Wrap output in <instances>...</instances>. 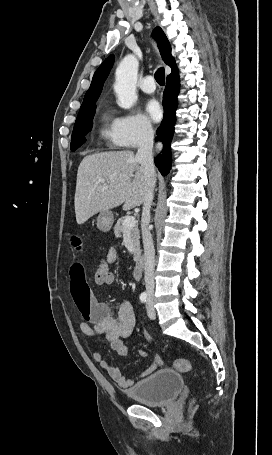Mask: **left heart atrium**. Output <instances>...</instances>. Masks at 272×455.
<instances>
[{
  "label": "left heart atrium",
  "mask_w": 272,
  "mask_h": 455,
  "mask_svg": "<svg viewBox=\"0 0 272 455\" xmlns=\"http://www.w3.org/2000/svg\"><path fill=\"white\" fill-rule=\"evenodd\" d=\"M146 111L154 121H158L161 118V106L155 99H151L146 103Z\"/></svg>",
  "instance_id": "39dd6f15"
}]
</instances>
